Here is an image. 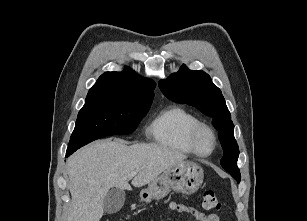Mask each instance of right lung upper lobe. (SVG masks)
I'll use <instances>...</instances> for the list:
<instances>
[{"mask_svg": "<svg viewBox=\"0 0 307 221\" xmlns=\"http://www.w3.org/2000/svg\"><path fill=\"white\" fill-rule=\"evenodd\" d=\"M155 86L152 80L136 75L129 68L123 72H106L89 90L85 102L106 98L152 101Z\"/></svg>", "mask_w": 307, "mask_h": 221, "instance_id": "1", "label": "right lung upper lobe"}]
</instances>
